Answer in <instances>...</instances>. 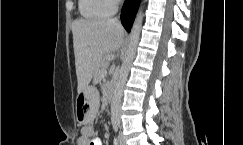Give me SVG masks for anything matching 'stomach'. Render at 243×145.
<instances>
[{
    "label": "stomach",
    "instance_id": "stomach-1",
    "mask_svg": "<svg viewBox=\"0 0 243 145\" xmlns=\"http://www.w3.org/2000/svg\"><path fill=\"white\" fill-rule=\"evenodd\" d=\"M100 94H89L85 89L80 92L76 100V120L81 124L91 123L97 113Z\"/></svg>",
    "mask_w": 243,
    "mask_h": 145
}]
</instances>
